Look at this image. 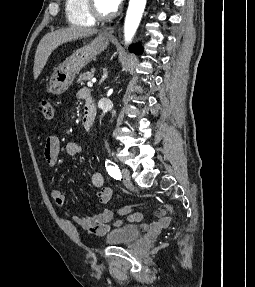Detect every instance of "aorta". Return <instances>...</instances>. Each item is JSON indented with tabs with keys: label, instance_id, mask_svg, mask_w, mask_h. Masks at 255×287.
Listing matches in <instances>:
<instances>
[{
	"label": "aorta",
	"instance_id": "obj_1",
	"mask_svg": "<svg viewBox=\"0 0 255 287\" xmlns=\"http://www.w3.org/2000/svg\"><path fill=\"white\" fill-rule=\"evenodd\" d=\"M145 5L146 0H130L124 24V36L126 43H129L132 40L138 28Z\"/></svg>",
	"mask_w": 255,
	"mask_h": 287
}]
</instances>
